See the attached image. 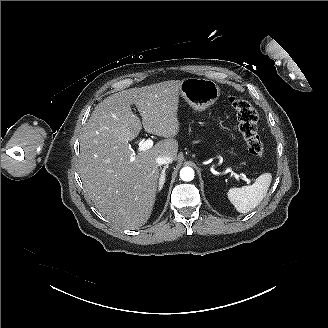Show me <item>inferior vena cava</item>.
<instances>
[{
    "instance_id": "1",
    "label": "inferior vena cava",
    "mask_w": 328,
    "mask_h": 328,
    "mask_svg": "<svg viewBox=\"0 0 328 328\" xmlns=\"http://www.w3.org/2000/svg\"><path fill=\"white\" fill-rule=\"evenodd\" d=\"M156 162L158 165L169 164V163L173 162V158L168 155H163V156L157 157Z\"/></svg>"
}]
</instances>
